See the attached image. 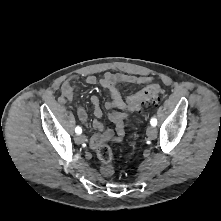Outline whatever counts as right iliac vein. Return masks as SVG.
<instances>
[{"instance_id":"obj_1","label":"right iliac vein","mask_w":221,"mask_h":221,"mask_svg":"<svg viewBox=\"0 0 221 221\" xmlns=\"http://www.w3.org/2000/svg\"><path fill=\"white\" fill-rule=\"evenodd\" d=\"M75 141L76 143L81 144L86 141V137L83 134H79L78 136H76Z\"/></svg>"}]
</instances>
